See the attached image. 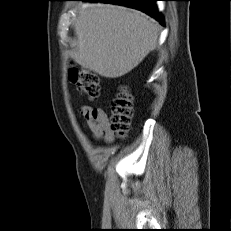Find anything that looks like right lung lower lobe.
<instances>
[{"instance_id": "obj_1", "label": "right lung lower lobe", "mask_w": 231, "mask_h": 231, "mask_svg": "<svg viewBox=\"0 0 231 231\" xmlns=\"http://www.w3.org/2000/svg\"><path fill=\"white\" fill-rule=\"evenodd\" d=\"M79 1H91V2H105V3H113L124 5L132 8L139 9L155 19H157L160 23H163V18L159 14L155 2L157 0H79Z\"/></svg>"}]
</instances>
